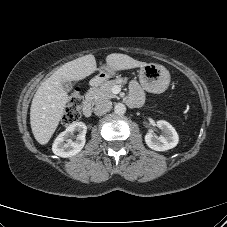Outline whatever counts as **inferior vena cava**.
Instances as JSON below:
<instances>
[{"label": "inferior vena cava", "mask_w": 227, "mask_h": 227, "mask_svg": "<svg viewBox=\"0 0 227 227\" xmlns=\"http://www.w3.org/2000/svg\"><path fill=\"white\" fill-rule=\"evenodd\" d=\"M111 108H112V102L109 100H103V101L98 102L95 105L94 113L97 116H101V115L109 112L111 110Z\"/></svg>", "instance_id": "inferior-vena-cava-1"}]
</instances>
